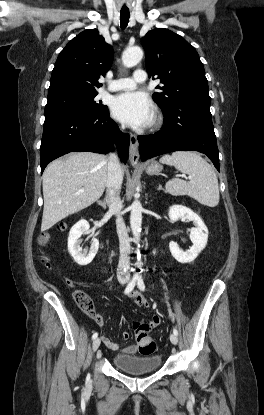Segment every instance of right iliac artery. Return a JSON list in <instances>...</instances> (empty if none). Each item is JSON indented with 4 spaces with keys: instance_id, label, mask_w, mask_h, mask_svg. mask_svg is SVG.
I'll use <instances>...</instances> for the list:
<instances>
[{
    "instance_id": "obj_1",
    "label": "right iliac artery",
    "mask_w": 264,
    "mask_h": 415,
    "mask_svg": "<svg viewBox=\"0 0 264 415\" xmlns=\"http://www.w3.org/2000/svg\"><path fill=\"white\" fill-rule=\"evenodd\" d=\"M136 282H137V276L136 275H134L133 276V278H132V280L129 282V284L127 285V287H126V289H125V291H124V293L125 294H129L133 289H134V287H135V285H136ZM98 337V333L97 332H95L93 335H92V339L94 340V339H96Z\"/></svg>"
}]
</instances>
